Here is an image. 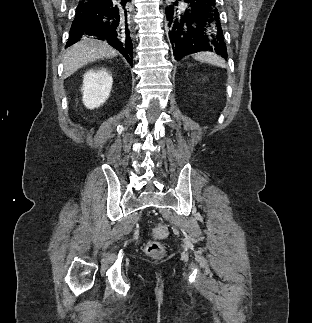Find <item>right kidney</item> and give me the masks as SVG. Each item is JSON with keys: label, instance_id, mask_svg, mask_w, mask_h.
Returning <instances> with one entry per match:
<instances>
[{"label": "right kidney", "instance_id": "obj_1", "mask_svg": "<svg viewBox=\"0 0 312 323\" xmlns=\"http://www.w3.org/2000/svg\"><path fill=\"white\" fill-rule=\"evenodd\" d=\"M112 76L108 74L105 68H96V70H88L84 74L82 94L83 104L89 110L99 108L110 96L112 88Z\"/></svg>", "mask_w": 312, "mask_h": 323}]
</instances>
